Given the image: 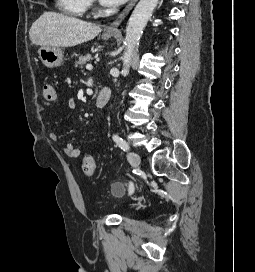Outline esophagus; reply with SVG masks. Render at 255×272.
<instances>
[{
	"label": "esophagus",
	"instance_id": "1",
	"mask_svg": "<svg viewBox=\"0 0 255 272\" xmlns=\"http://www.w3.org/2000/svg\"><path fill=\"white\" fill-rule=\"evenodd\" d=\"M136 2L137 0H131L129 4L124 8V10L118 15V17L106 28V32L109 33L118 32L119 25L131 11V9L134 7Z\"/></svg>",
	"mask_w": 255,
	"mask_h": 272
}]
</instances>
